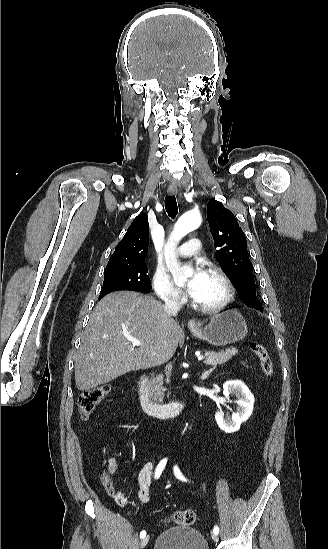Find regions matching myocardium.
Listing matches in <instances>:
<instances>
[{
	"label": "myocardium",
	"instance_id": "obj_1",
	"mask_svg": "<svg viewBox=\"0 0 328 549\" xmlns=\"http://www.w3.org/2000/svg\"><path fill=\"white\" fill-rule=\"evenodd\" d=\"M196 264L199 266L209 267V269L205 270V272L213 273L222 280L225 287V293H224V296L218 302L212 305H204V304L198 303L195 300L193 301V305L198 311L208 315H213V314L223 312L228 308L235 293L234 285L231 278L224 271V267L217 262H214L211 260H200V261H197ZM190 265L191 264H187L186 268Z\"/></svg>",
	"mask_w": 328,
	"mask_h": 549
}]
</instances>
